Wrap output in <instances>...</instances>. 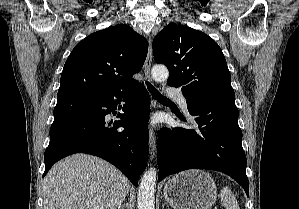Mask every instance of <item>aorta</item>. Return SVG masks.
<instances>
[{"instance_id": "762f6f07", "label": "aorta", "mask_w": 299, "mask_h": 209, "mask_svg": "<svg viewBox=\"0 0 299 209\" xmlns=\"http://www.w3.org/2000/svg\"><path fill=\"white\" fill-rule=\"evenodd\" d=\"M151 75L155 81L162 82L167 80L169 72L164 65H155L151 70ZM156 177L155 168H150L143 174L137 194L138 209H155Z\"/></svg>"}]
</instances>
